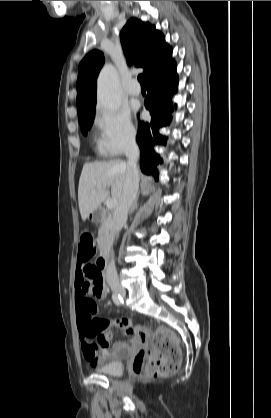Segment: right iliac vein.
<instances>
[{"mask_svg": "<svg viewBox=\"0 0 271 418\" xmlns=\"http://www.w3.org/2000/svg\"><path fill=\"white\" fill-rule=\"evenodd\" d=\"M112 289L116 294H119L120 296H125L126 292H125V289L123 287H121L119 285H114L112 287Z\"/></svg>", "mask_w": 271, "mask_h": 418, "instance_id": "1", "label": "right iliac vein"}]
</instances>
